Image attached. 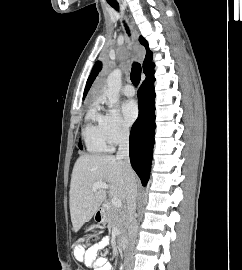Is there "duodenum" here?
<instances>
[{"mask_svg": "<svg viewBox=\"0 0 242 270\" xmlns=\"http://www.w3.org/2000/svg\"><path fill=\"white\" fill-rule=\"evenodd\" d=\"M98 215H100V213H98ZM98 221H100V218H98ZM126 243H127V239L124 235H121L119 237V241H118V245L121 248H125L126 247Z\"/></svg>", "mask_w": 242, "mask_h": 270, "instance_id": "410a0bca", "label": "duodenum"}]
</instances>
